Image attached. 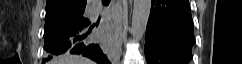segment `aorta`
<instances>
[{
    "label": "aorta",
    "mask_w": 242,
    "mask_h": 64,
    "mask_svg": "<svg viewBox=\"0 0 242 64\" xmlns=\"http://www.w3.org/2000/svg\"><path fill=\"white\" fill-rule=\"evenodd\" d=\"M151 10V0H134L132 15V38L139 41L145 34Z\"/></svg>",
    "instance_id": "obj_1"
}]
</instances>
